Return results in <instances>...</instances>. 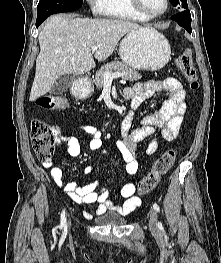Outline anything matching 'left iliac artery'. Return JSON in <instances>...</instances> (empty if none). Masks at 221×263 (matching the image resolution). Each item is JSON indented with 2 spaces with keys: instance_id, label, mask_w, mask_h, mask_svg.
<instances>
[{
  "instance_id": "44dca946",
  "label": "left iliac artery",
  "mask_w": 221,
  "mask_h": 263,
  "mask_svg": "<svg viewBox=\"0 0 221 263\" xmlns=\"http://www.w3.org/2000/svg\"><path fill=\"white\" fill-rule=\"evenodd\" d=\"M153 208H154V210H155L156 212H159V211H160V208H159L158 204H156V203L153 204ZM159 225L161 226V223H159Z\"/></svg>"
}]
</instances>
